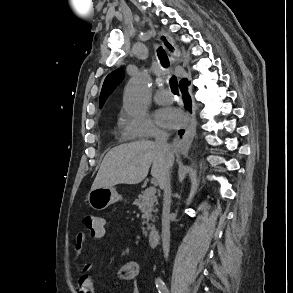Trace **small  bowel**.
Instances as JSON below:
<instances>
[{"mask_svg": "<svg viewBox=\"0 0 293 293\" xmlns=\"http://www.w3.org/2000/svg\"><path fill=\"white\" fill-rule=\"evenodd\" d=\"M106 229L103 225L99 233L92 234L95 238H102L105 235ZM86 233L79 231L75 237V248L78 254L82 252L86 242ZM83 271L88 270L89 264L82 265ZM139 274V265L137 262L128 261L124 263L119 270V279L122 281H135ZM78 293H96L95 286L87 274H82L77 279ZM131 293H141L139 286L135 283L131 288Z\"/></svg>", "mask_w": 293, "mask_h": 293, "instance_id": "c3829d8e", "label": "small bowel"}]
</instances>
